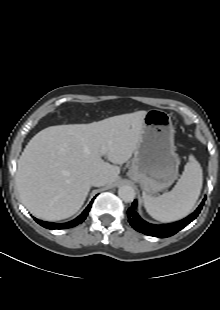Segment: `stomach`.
I'll list each match as a JSON object with an SVG mask.
<instances>
[{"label": "stomach", "mask_w": 220, "mask_h": 310, "mask_svg": "<svg viewBox=\"0 0 220 310\" xmlns=\"http://www.w3.org/2000/svg\"><path fill=\"white\" fill-rule=\"evenodd\" d=\"M179 163L171 116L162 110H149L134 151L129 177L140 184L145 194L153 195L174 183Z\"/></svg>", "instance_id": "1"}]
</instances>
